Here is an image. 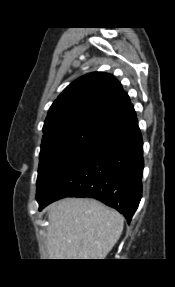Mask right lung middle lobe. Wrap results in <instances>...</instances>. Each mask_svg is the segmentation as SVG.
Returning <instances> with one entry per match:
<instances>
[{
	"instance_id": "obj_1",
	"label": "right lung middle lobe",
	"mask_w": 175,
	"mask_h": 287,
	"mask_svg": "<svg viewBox=\"0 0 175 287\" xmlns=\"http://www.w3.org/2000/svg\"><path fill=\"white\" fill-rule=\"evenodd\" d=\"M114 127L106 123L90 122L64 125L45 132L39 158L36 196L45 193Z\"/></svg>"
}]
</instances>
